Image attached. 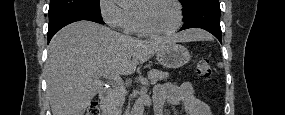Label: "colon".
<instances>
[{"label":"colon","instance_id":"obj_1","mask_svg":"<svg viewBox=\"0 0 285 115\" xmlns=\"http://www.w3.org/2000/svg\"><path fill=\"white\" fill-rule=\"evenodd\" d=\"M196 72L203 78H210L212 75V68L208 60H200L196 64ZM99 108L96 101L90 103L86 115H98Z\"/></svg>","mask_w":285,"mask_h":115}]
</instances>
